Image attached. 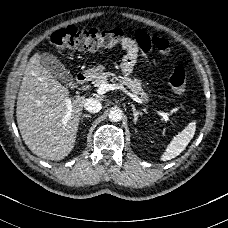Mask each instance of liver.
I'll list each match as a JSON object with an SVG mask.
<instances>
[{
	"label": "liver",
	"instance_id": "1",
	"mask_svg": "<svg viewBox=\"0 0 228 228\" xmlns=\"http://www.w3.org/2000/svg\"><path fill=\"white\" fill-rule=\"evenodd\" d=\"M85 97H69L66 87L34 54L26 67L17 97L16 117L22 139L35 155L62 160L74 148ZM68 108L71 115L66 117Z\"/></svg>",
	"mask_w": 228,
	"mask_h": 228
}]
</instances>
